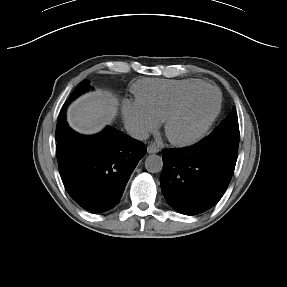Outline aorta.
Returning <instances> with one entry per match:
<instances>
[{
  "instance_id": "762f6f07",
  "label": "aorta",
  "mask_w": 287,
  "mask_h": 287,
  "mask_svg": "<svg viewBox=\"0 0 287 287\" xmlns=\"http://www.w3.org/2000/svg\"><path fill=\"white\" fill-rule=\"evenodd\" d=\"M145 168L150 173H158L163 168V161L159 155H149L145 160Z\"/></svg>"
}]
</instances>
